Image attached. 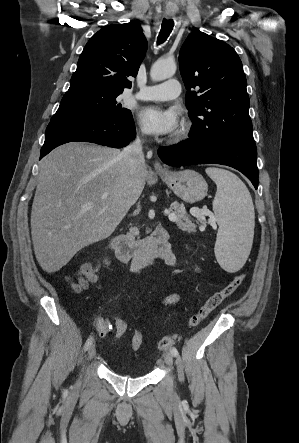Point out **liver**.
<instances>
[{
  "label": "liver",
  "mask_w": 299,
  "mask_h": 443,
  "mask_svg": "<svg viewBox=\"0 0 299 443\" xmlns=\"http://www.w3.org/2000/svg\"><path fill=\"white\" fill-rule=\"evenodd\" d=\"M118 149L70 142L40 163L31 212L36 259L53 273L110 236L141 195L146 165L131 171ZM91 204V208L83 205Z\"/></svg>",
  "instance_id": "liver-1"
}]
</instances>
